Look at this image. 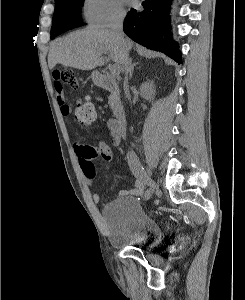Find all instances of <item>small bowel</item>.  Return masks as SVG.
<instances>
[{
  "label": "small bowel",
  "mask_w": 245,
  "mask_h": 300,
  "mask_svg": "<svg viewBox=\"0 0 245 300\" xmlns=\"http://www.w3.org/2000/svg\"><path fill=\"white\" fill-rule=\"evenodd\" d=\"M54 77V76H53ZM54 90L56 93V101L59 105L60 112L63 117L69 118L71 115V109L65 102V96L63 93V87L59 80L54 77ZM107 131L108 135L111 138L112 144L117 146L120 144L121 140L126 134V129H123L116 119H109L107 121ZM74 150L79 158V161L85 171V164L91 162L97 157H102L106 161L110 162L112 160V152L105 142L99 141L96 146L83 145L80 143L74 144ZM144 184L136 179L134 187L130 190H125L121 192V195H141L143 193ZM92 199L95 203L100 202L101 196L98 193H94Z\"/></svg>",
  "instance_id": "small-bowel-1"
}]
</instances>
